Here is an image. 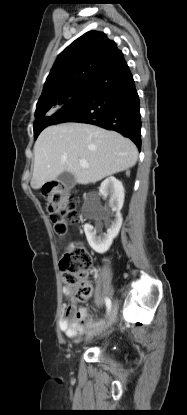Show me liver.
Masks as SVG:
<instances>
[{
	"mask_svg": "<svg viewBox=\"0 0 187 415\" xmlns=\"http://www.w3.org/2000/svg\"><path fill=\"white\" fill-rule=\"evenodd\" d=\"M33 189L70 172L79 184L95 183L133 167L135 144L115 131L84 123H63L45 128L34 145ZM86 160L89 167L80 165Z\"/></svg>",
	"mask_w": 187,
	"mask_h": 415,
	"instance_id": "liver-1",
	"label": "liver"
}]
</instances>
